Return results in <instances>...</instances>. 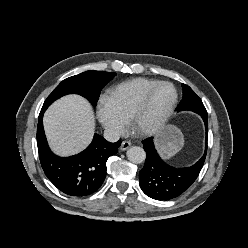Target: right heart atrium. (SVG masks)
<instances>
[{"label":"right heart atrium","mask_w":248,"mask_h":248,"mask_svg":"<svg viewBox=\"0 0 248 248\" xmlns=\"http://www.w3.org/2000/svg\"><path fill=\"white\" fill-rule=\"evenodd\" d=\"M96 115L101 126L109 134L119 136L125 132L127 121L119 113L110 96H100L96 105Z\"/></svg>","instance_id":"right-heart-atrium-1"}]
</instances>
